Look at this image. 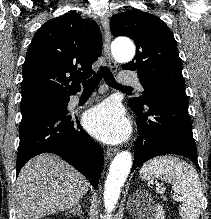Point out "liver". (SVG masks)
Segmentation results:
<instances>
[{
  "label": "liver",
  "mask_w": 211,
  "mask_h": 219,
  "mask_svg": "<svg viewBox=\"0 0 211 219\" xmlns=\"http://www.w3.org/2000/svg\"><path fill=\"white\" fill-rule=\"evenodd\" d=\"M89 183L54 154H40L21 169L15 188L16 219H39L72 208Z\"/></svg>",
  "instance_id": "obj_1"
}]
</instances>
